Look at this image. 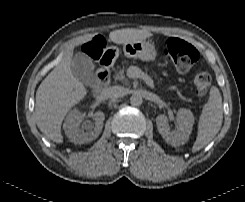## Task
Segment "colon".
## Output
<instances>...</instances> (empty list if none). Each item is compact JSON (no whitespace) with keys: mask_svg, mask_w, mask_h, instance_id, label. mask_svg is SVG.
<instances>
[{"mask_svg":"<svg viewBox=\"0 0 245 202\" xmlns=\"http://www.w3.org/2000/svg\"><path fill=\"white\" fill-rule=\"evenodd\" d=\"M103 43L94 37L82 41L78 45V54L96 60L102 51ZM163 53L179 73H186L199 59V51L184 40L169 37L162 42ZM211 75L206 71L197 72L193 76L194 90L197 95L207 93L211 85Z\"/></svg>","mask_w":245,"mask_h":202,"instance_id":"obj_1","label":"colon"}]
</instances>
